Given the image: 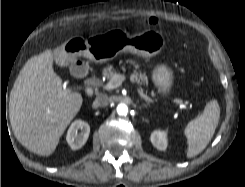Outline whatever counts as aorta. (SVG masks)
<instances>
[{
	"label": "aorta",
	"mask_w": 245,
	"mask_h": 187,
	"mask_svg": "<svg viewBox=\"0 0 245 187\" xmlns=\"http://www.w3.org/2000/svg\"><path fill=\"white\" fill-rule=\"evenodd\" d=\"M117 113L119 116H126L128 113V107L125 104H119L117 106Z\"/></svg>",
	"instance_id": "aorta-1"
}]
</instances>
